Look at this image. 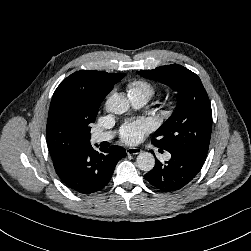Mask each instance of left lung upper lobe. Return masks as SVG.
<instances>
[{
  "label": "left lung upper lobe",
  "mask_w": 251,
  "mask_h": 251,
  "mask_svg": "<svg viewBox=\"0 0 251 251\" xmlns=\"http://www.w3.org/2000/svg\"><path fill=\"white\" fill-rule=\"evenodd\" d=\"M140 73L178 92L174 113L154 133L152 143L167 151L185 149L205 158L211 137L212 110L200 78L178 64L141 70Z\"/></svg>",
  "instance_id": "1"
}]
</instances>
